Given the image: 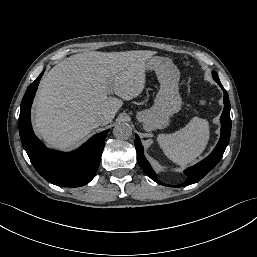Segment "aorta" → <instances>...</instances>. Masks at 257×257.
Here are the masks:
<instances>
[{
	"instance_id": "aorta-1",
	"label": "aorta",
	"mask_w": 257,
	"mask_h": 257,
	"mask_svg": "<svg viewBox=\"0 0 257 257\" xmlns=\"http://www.w3.org/2000/svg\"><path fill=\"white\" fill-rule=\"evenodd\" d=\"M113 134L116 138L126 140L132 135V128L128 123L120 122L113 128Z\"/></svg>"
}]
</instances>
